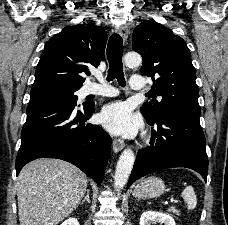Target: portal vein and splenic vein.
I'll list each match as a JSON object with an SVG mask.
<instances>
[{"mask_svg":"<svg viewBox=\"0 0 228 225\" xmlns=\"http://www.w3.org/2000/svg\"><path fill=\"white\" fill-rule=\"evenodd\" d=\"M179 200H174L173 197H170L169 199H164L163 207H169L170 205H179Z\"/></svg>","mask_w":228,"mask_h":225,"instance_id":"1","label":"portal vein and splenic vein"}]
</instances>
